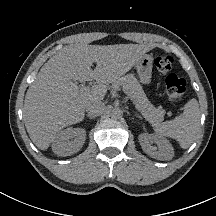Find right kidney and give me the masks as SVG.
<instances>
[{
  "mask_svg": "<svg viewBox=\"0 0 216 216\" xmlns=\"http://www.w3.org/2000/svg\"><path fill=\"white\" fill-rule=\"evenodd\" d=\"M85 139V129L70 127L56 135L52 142V150L58 156H70L82 148Z\"/></svg>",
  "mask_w": 216,
  "mask_h": 216,
  "instance_id": "obj_1",
  "label": "right kidney"
}]
</instances>
